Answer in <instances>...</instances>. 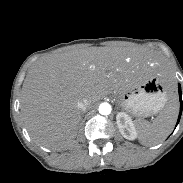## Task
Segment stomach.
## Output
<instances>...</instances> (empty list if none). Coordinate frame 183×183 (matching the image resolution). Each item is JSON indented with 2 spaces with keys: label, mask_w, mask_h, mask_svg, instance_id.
I'll return each mask as SVG.
<instances>
[{
  "label": "stomach",
  "mask_w": 183,
  "mask_h": 183,
  "mask_svg": "<svg viewBox=\"0 0 183 183\" xmlns=\"http://www.w3.org/2000/svg\"><path fill=\"white\" fill-rule=\"evenodd\" d=\"M167 101L166 86L157 75L154 64L139 67L133 81L120 94L122 107L138 117L158 113Z\"/></svg>",
  "instance_id": "obj_1"
}]
</instances>
